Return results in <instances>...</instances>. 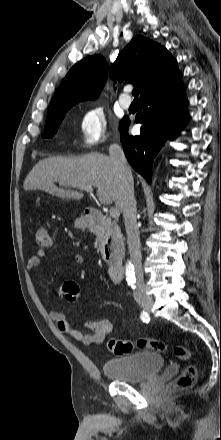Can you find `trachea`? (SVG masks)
Segmentation results:
<instances>
[{"label":"trachea","instance_id":"trachea-1","mask_svg":"<svg viewBox=\"0 0 221 440\" xmlns=\"http://www.w3.org/2000/svg\"><path fill=\"white\" fill-rule=\"evenodd\" d=\"M138 94H139V90H138V88H135V89L132 91V95L135 97V99H137Z\"/></svg>","mask_w":221,"mask_h":440}]
</instances>
